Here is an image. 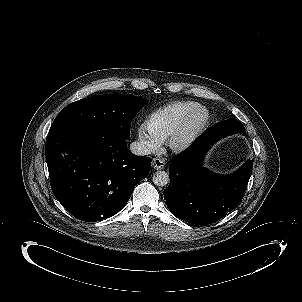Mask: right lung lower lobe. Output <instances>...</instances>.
<instances>
[{"mask_svg": "<svg viewBox=\"0 0 302 302\" xmlns=\"http://www.w3.org/2000/svg\"><path fill=\"white\" fill-rule=\"evenodd\" d=\"M126 140L89 125L48 133L46 160L53 194L79 220L96 222L115 215L148 176L151 158L134 155Z\"/></svg>", "mask_w": 302, "mask_h": 302, "instance_id": "98d812e1", "label": "right lung lower lobe"}]
</instances>
